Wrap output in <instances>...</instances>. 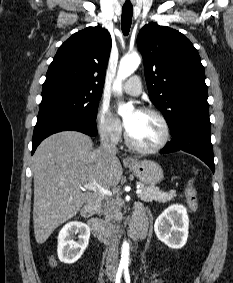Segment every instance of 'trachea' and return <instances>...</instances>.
<instances>
[{
  "label": "trachea",
  "mask_w": 233,
  "mask_h": 283,
  "mask_svg": "<svg viewBox=\"0 0 233 283\" xmlns=\"http://www.w3.org/2000/svg\"><path fill=\"white\" fill-rule=\"evenodd\" d=\"M132 16H133L132 6H130V7L123 6L121 28H122V32L125 36L129 34L131 23H132Z\"/></svg>",
  "instance_id": "3493384b"
}]
</instances>
